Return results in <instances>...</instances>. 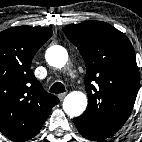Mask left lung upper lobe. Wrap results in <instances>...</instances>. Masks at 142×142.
I'll return each instance as SVG.
<instances>
[{
    "instance_id": "5c2ea615",
    "label": "left lung upper lobe",
    "mask_w": 142,
    "mask_h": 142,
    "mask_svg": "<svg viewBox=\"0 0 142 142\" xmlns=\"http://www.w3.org/2000/svg\"><path fill=\"white\" fill-rule=\"evenodd\" d=\"M87 68L88 107L79 116L105 136L117 132L132 112L139 87L134 49L119 30L102 21L64 28Z\"/></svg>"
}]
</instances>
